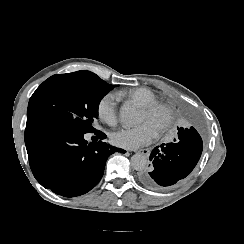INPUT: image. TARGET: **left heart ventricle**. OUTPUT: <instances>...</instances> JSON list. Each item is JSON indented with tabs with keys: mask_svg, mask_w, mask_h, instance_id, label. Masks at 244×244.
I'll return each mask as SVG.
<instances>
[{
	"mask_svg": "<svg viewBox=\"0 0 244 244\" xmlns=\"http://www.w3.org/2000/svg\"><path fill=\"white\" fill-rule=\"evenodd\" d=\"M139 123H149L160 133L169 123V118L163 108L153 111H145L141 108L139 111Z\"/></svg>",
	"mask_w": 244,
	"mask_h": 244,
	"instance_id": "b2bd125f",
	"label": "left heart ventricle"
}]
</instances>
